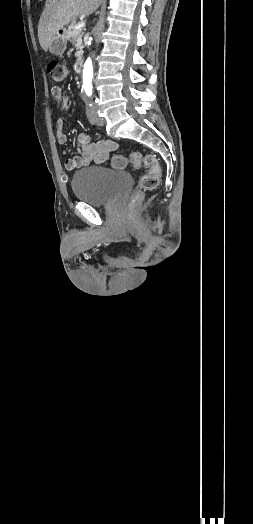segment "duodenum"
I'll return each mask as SVG.
<instances>
[{
	"label": "duodenum",
	"instance_id": "410a0bca",
	"mask_svg": "<svg viewBox=\"0 0 253 524\" xmlns=\"http://www.w3.org/2000/svg\"><path fill=\"white\" fill-rule=\"evenodd\" d=\"M74 69H75V72L76 73H81L82 72V60L81 59H78L75 64H74Z\"/></svg>",
	"mask_w": 253,
	"mask_h": 524
}]
</instances>
